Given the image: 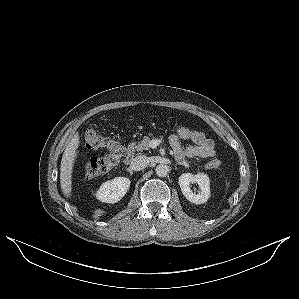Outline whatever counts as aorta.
<instances>
[{
    "label": "aorta",
    "mask_w": 299,
    "mask_h": 299,
    "mask_svg": "<svg viewBox=\"0 0 299 299\" xmlns=\"http://www.w3.org/2000/svg\"><path fill=\"white\" fill-rule=\"evenodd\" d=\"M156 175L159 177H165L169 172V167L165 164H159L155 168Z\"/></svg>",
    "instance_id": "1"
}]
</instances>
